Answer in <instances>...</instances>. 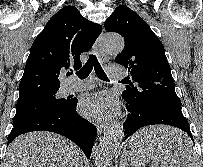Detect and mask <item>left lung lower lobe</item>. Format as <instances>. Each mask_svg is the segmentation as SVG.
<instances>
[{
    "label": "left lung lower lobe",
    "instance_id": "0a47b994",
    "mask_svg": "<svg viewBox=\"0 0 203 167\" xmlns=\"http://www.w3.org/2000/svg\"><path fill=\"white\" fill-rule=\"evenodd\" d=\"M126 108L129 111V114L124 124L125 139H127L129 136H131L142 127L148 125L164 124L181 129L182 131L186 132L188 136L193 140L188 121L183 116L181 107L179 106L166 107L154 112L145 111L139 106L129 105L128 103H126ZM189 137H187L186 139V141H189V143L185 142L184 139L183 142L176 143L177 147L181 148L182 150H186L187 148L191 149ZM143 141L144 142L140 141V143L136 144V146L134 145L133 150L151 147L155 148L157 147V145L160 144L158 140L153 138L144 139Z\"/></svg>",
    "mask_w": 203,
    "mask_h": 167
}]
</instances>
